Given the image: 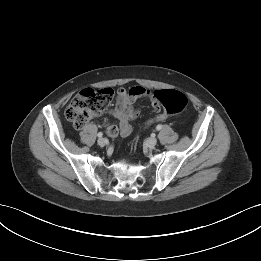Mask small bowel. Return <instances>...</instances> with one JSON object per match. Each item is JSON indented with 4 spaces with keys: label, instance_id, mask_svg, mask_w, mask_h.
<instances>
[{
    "label": "small bowel",
    "instance_id": "1",
    "mask_svg": "<svg viewBox=\"0 0 261 261\" xmlns=\"http://www.w3.org/2000/svg\"><path fill=\"white\" fill-rule=\"evenodd\" d=\"M141 97L149 98L155 111L159 110L155 92L141 86H133L129 89L120 88L117 90L116 105L111 110V114L119 120V134L123 137L129 136L132 132L130 121L139 115V111L134 108V103Z\"/></svg>",
    "mask_w": 261,
    "mask_h": 261
}]
</instances>
